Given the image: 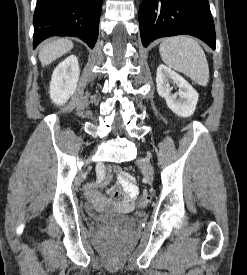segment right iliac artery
<instances>
[{
  "label": "right iliac artery",
  "mask_w": 247,
  "mask_h": 275,
  "mask_svg": "<svg viewBox=\"0 0 247 275\" xmlns=\"http://www.w3.org/2000/svg\"><path fill=\"white\" fill-rule=\"evenodd\" d=\"M96 174L98 180H105L107 174V168L105 167V164H96Z\"/></svg>",
  "instance_id": "right-iliac-artery-1"
}]
</instances>
